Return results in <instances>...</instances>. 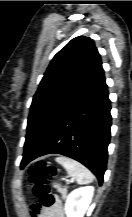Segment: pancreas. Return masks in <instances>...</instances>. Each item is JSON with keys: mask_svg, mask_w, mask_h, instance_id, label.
Instances as JSON below:
<instances>
[{"mask_svg": "<svg viewBox=\"0 0 132 217\" xmlns=\"http://www.w3.org/2000/svg\"><path fill=\"white\" fill-rule=\"evenodd\" d=\"M58 191L61 193L62 198L65 199L67 195V188L65 187L63 189H59Z\"/></svg>", "mask_w": 132, "mask_h": 217, "instance_id": "1", "label": "pancreas"}]
</instances>
